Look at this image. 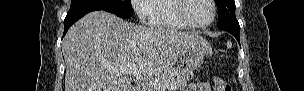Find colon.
Listing matches in <instances>:
<instances>
[{
  "label": "colon",
  "instance_id": "obj_1",
  "mask_svg": "<svg viewBox=\"0 0 304 91\" xmlns=\"http://www.w3.org/2000/svg\"><path fill=\"white\" fill-rule=\"evenodd\" d=\"M214 91H233L232 86L224 79L217 77L214 80Z\"/></svg>",
  "mask_w": 304,
  "mask_h": 91
}]
</instances>
